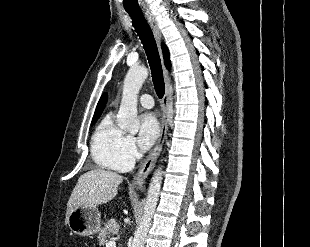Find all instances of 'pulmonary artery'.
<instances>
[{"label": "pulmonary artery", "mask_w": 310, "mask_h": 247, "mask_svg": "<svg viewBox=\"0 0 310 247\" xmlns=\"http://www.w3.org/2000/svg\"><path fill=\"white\" fill-rule=\"evenodd\" d=\"M139 101H140V104L145 108H151L154 105L153 98L149 94L141 95L139 98Z\"/></svg>", "instance_id": "1"}]
</instances>
